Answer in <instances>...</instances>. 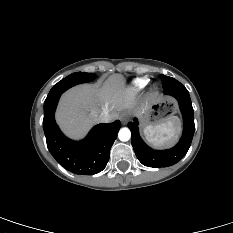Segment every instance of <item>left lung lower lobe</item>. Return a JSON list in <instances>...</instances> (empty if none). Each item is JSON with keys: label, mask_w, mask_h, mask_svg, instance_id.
Wrapping results in <instances>:
<instances>
[{"label": "left lung lower lobe", "mask_w": 233, "mask_h": 233, "mask_svg": "<svg viewBox=\"0 0 233 233\" xmlns=\"http://www.w3.org/2000/svg\"><path fill=\"white\" fill-rule=\"evenodd\" d=\"M163 89L164 94L177 99L183 115V135L176 146L167 150H153L141 139L137 119L128 123L132 133V146L137 158L143 165L153 168L167 167L178 163L187 153L195 131L194 112L187 89L178 81Z\"/></svg>", "instance_id": "1"}]
</instances>
